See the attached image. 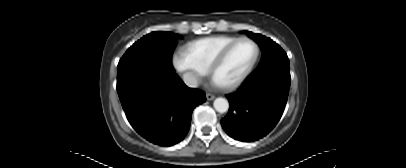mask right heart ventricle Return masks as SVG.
Listing matches in <instances>:
<instances>
[{
  "instance_id": "1",
  "label": "right heart ventricle",
  "mask_w": 406,
  "mask_h": 168,
  "mask_svg": "<svg viewBox=\"0 0 406 168\" xmlns=\"http://www.w3.org/2000/svg\"><path fill=\"white\" fill-rule=\"evenodd\" d=\"M235 39L236 37L232 36L200 38L187 43L185 52L198 67L208 71L217 54Z\"/></svg>"
}]
</instances>
